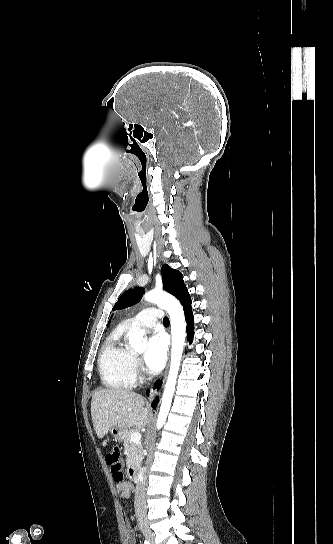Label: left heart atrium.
I'll list each match as a JSON object with an SVG mask.
<instances>
[{
	"instance_id": "1",
	"label": "left heart atrium",
	"mask_w": 333,
	"mask_h": 544,
	"mask_svg": "<svg viewBox=\"0 0 333 544\" xmlns=\"http://www.w3.org/2000/svg\"><path fill=\"white\" fill-rule=\"evenodd\" d=\"M168 340L161 332L154 333L148 340L144 361L149 370H161L167 358Z\"/></svg>"
}]
</instances>
